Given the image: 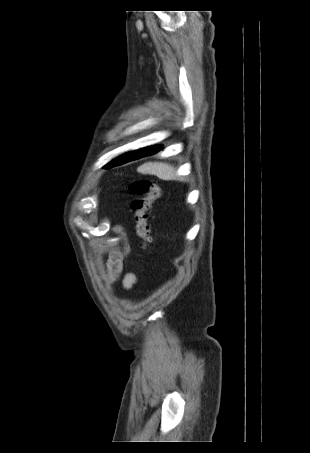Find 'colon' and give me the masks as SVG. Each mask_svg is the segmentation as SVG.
Masks as SVG:
<instances>
[{
  "label": "colon",
  "instance_id": "1",
  "mask_svg": "<svg viewBox=\"0 0 310 453\" xmlns=\"http://www.w3.org/2000/svg\"><path fill=\"white\" fill-rule=\"evenodd\" d=\"M133 196L131 208L134 213V230L145 249L152 241L149 218L154 204L162 192L159 186L148 179H135L129 184Z\"/></svg>",
  "mask_w": 310,
  "mask_h": 453
}]
</instances>
